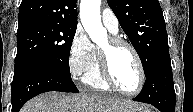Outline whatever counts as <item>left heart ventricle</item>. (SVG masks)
<instances>
[{
    "mask_svg": "<svg viewBox=\"0 0 193 112\" xmlns=\"http://www.w3.org/2000/svg\"><path fill=\"white\" fill-rule=\"evenodd\" d=\"M102 49L109 48V41L104 42ZM111 73L117 84L125 91H134L139 84V70L133 53L129 48L120 46L109 52Z\"/></svg>",
    "mask_w": 193,
    "mask_h": 112,
    "instance_id": "left-heart-ventricle-1",
    "label": "left heart ventricle"
}]
</instances>
